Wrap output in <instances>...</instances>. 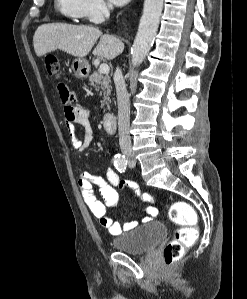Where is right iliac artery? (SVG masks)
<instances>
[{
	"instance_id": "right-iliac-artery-1",
	"label": "right iliac artery",
	"mask_w": 247,
	"mask_h": 299,
	"mask_svg": "<svg viewBox=\"0 0 247 299\" xmlns=\"http://www.w3.org/2000/svg\"><path fill=\"white\" fill-rule=\"evenodd\" d=\"M114 165L117 168L119 172H125L126 167H127V160L125 156L117 154L114 157Z\"/></svg>"
}]
</instances>
